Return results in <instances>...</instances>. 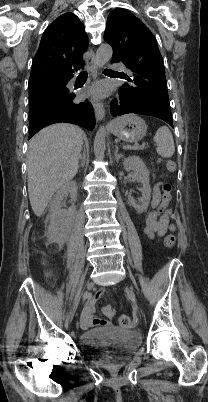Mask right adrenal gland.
Returning a JSON list of instances; mask_svg holds the SVG:
<instances>
[{
    "label": "right adrenal gland",
    "mask_w": 208,
    "mask_h": 402,
    "mask_svg": "<svg viewBox=\"0 0 208 402\" xmlns=\"http://www.w3.org/2000/svg\"><path fill=\"white\" fill-rule=\"evenodd\" d=\"M80 160H82V162H81L80 166H81V168H84L85 150H84V154H83V156H80Z\"/></svg>",
    "instance_id": "right-adrenal-gland-1"
}]
</instances>
